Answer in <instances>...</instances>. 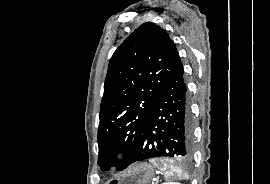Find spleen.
Masks as SVG:
<instances>
[{"mask_svg": "<svg viewBox=\"0 0 270 184\" xmlns=\"http://www.w3.org/2000/svg\"><path fill=\"white\" fill-rule=\"evenodd\" d=\"M156 166L163 172L166 180H171L176 177L180 178L182 176L181 170L170 163H163L162 165L156 164ZM163 184H168V182Z\"/></svg>", "mask_w": 270, "mask_h": 184, "instance_id": "obj_1", "label": "spleen"}]
</instances>
